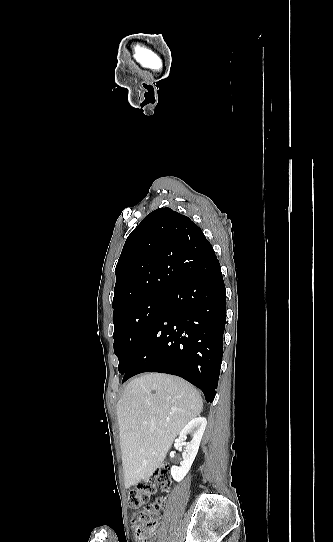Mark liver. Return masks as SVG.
I'll use <instances>...</instances> for the list:
<instances>
[{
  "instance_id": "6515ba94",
  "label": "liver",
  "mask_w": 333,
  "mask_h": 542,
  "mask_svg": "<svg viewBox=\"0 0 333 542\" xmlns=\"http://www.w3.org/2000/svg\"><path fill=\"white\" fill-rule=\"evenodd\" d=\"M116 410L128 490L160 468L180 430L200 416L203 402L196 388L177 376L142 374L126 386Z\"/></svg>"
}]
</instances>
